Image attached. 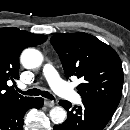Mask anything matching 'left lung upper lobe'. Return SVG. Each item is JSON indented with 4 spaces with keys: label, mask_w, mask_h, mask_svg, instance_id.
Masks as SVG:
<instances>
[{
    "label": "left lung upper lobe",
    "mask_w": 130,
    "mask_h": 130,
    "mask_svg": "<svg viewBox=\"0 0 130 130\" xmlns=\"http://www.w3.org/2000/svg\"><path fill=\"white\" fill-rule=\"evenodd\" d=\"M65 76L81 78L82 99L100 103L115 112L123 88V69L116 51L96 37L83 33H59L51 37Z\"/></svg>",
    "instance_id": "left-lung-upper-lobe-1"
}]
</instances>
